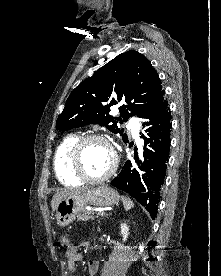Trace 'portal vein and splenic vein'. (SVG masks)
<instances>
[{"instance_id": "1", "label": "portal vein and splenic vein", "mask_w": 221, "mask_h": 276, "mask_svg": "<svg viewBox=\"0 0 221 276\" xmlns=\"http://www.w3.org/2000/svg\"><path fill=\"white\" fill-rule=\"evenodd\" d=\"M97 214V216L98 215H104V212H98V213H96Z\"/></svg>"}]
</instances>
